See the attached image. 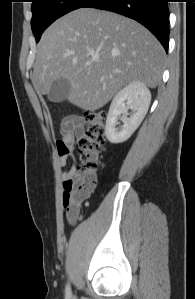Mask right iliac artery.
Masks as SVG:
<instances>
[{"instance_id":"right-iliac-artery-1","label":"right iliac artery","mask_w":195,"mask_h":299,"mask_svg":"<svg viewBox=\"0 0 195 299\" xmlns=\"http://www.w3.org/2000/svg\"><path fill=\"white\" fill-rule=\"evenodd\" d=\"M65 293H66V299H71L72 298V293H71V289H70L69 285L66 286Z\"/></svg>"}]
</instances>
